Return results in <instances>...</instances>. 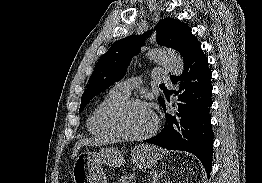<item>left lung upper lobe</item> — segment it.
<instances>
[{"label": "left lung upper lobe", "instance_id": "1", "mask_svg": "<svg viewBox=\"0 0 262 183\" xmlns=\"http://www.w3.org/2000/svg\"><path fill=\"white\" fill-rule=\"evenodd\" d=\"M155 30L157 31V43L177 50L182 55L184 62L201 49V44L192 35L191 29L180 20L162 19L155 26ZM149 35L150 31L142 36L133 35L113 43L96 63L86 85V91L82 95L79 112L96 94L107 89L124 76L131 58L140 51V47L144 44L143 38ZM158 101L161 103L163 98L159 97Z\"/></svg>", "mask_w": 262, "mask_h": 183}]
</instances>
